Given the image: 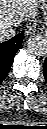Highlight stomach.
<instances>
[{"label":"stomach","instance_id":"0dacf381","mask_svg":"<svg viewBox=\"0 0 47 129\" xmlns=\"http://www.w3.org/2000/svg\"><path fill=\"white\" fill-rule=\"evenodd\" d=\"M41 3H42L41 8L43 9L44 12V20L45 23L47 24V0H42Z\"/></svg>","mask_w":47,"mask_h":129}]
</instances>
